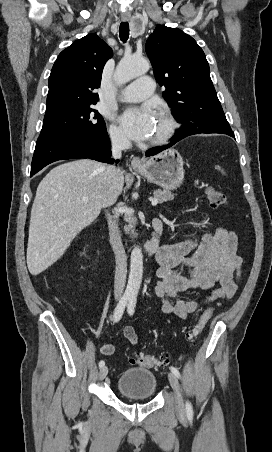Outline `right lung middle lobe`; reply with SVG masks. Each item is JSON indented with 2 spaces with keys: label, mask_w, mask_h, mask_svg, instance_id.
I'll return each instance as SVG.
<instances>
[{
  "label": "right lung middle lobe",
  "mask_w": 272,
  "mask_h": 452,
  "mask_svg": "<svg viewBox=\"0 0 272 452\" xmlns=\"http://www.w3.org/2000/svg\"><path fill=\"white\" fill-rule=\"evenodd\" d=\"M105 132L103 117L93 105H87L45 114L40 136L100 135Z\"/></svg>",
  "instance_id": "obj_1"
}]
</instances>
